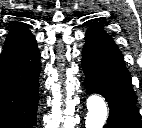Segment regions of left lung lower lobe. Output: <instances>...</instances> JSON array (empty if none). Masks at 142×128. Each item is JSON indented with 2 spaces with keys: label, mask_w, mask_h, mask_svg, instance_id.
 Instances as JSON below:
<instances>
[{
  "label": "left lung lower lobe",
  "mask_w": 142,
  "mask_h": 128,
  "mask_svg": "<svg viewBox=\"0 0 142 128\" xmlns=\"http://www.w3.org/2000/svg\"><path fill=\"white\" fill-rule=\"evenodd\" d=\"M82 50L86 93L102 95L110 113L104 128H140L137 97L122 53L114 40L99 26L91 24Z\"/></svg>",
  "instance_id": "obj_1"
}]
</instances>
